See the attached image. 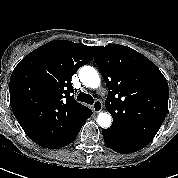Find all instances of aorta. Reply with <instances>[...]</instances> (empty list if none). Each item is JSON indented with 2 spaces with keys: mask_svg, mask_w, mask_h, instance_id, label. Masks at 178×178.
<instances>
[{
  "mask_svg": "<svg viewBox=\"0 0 178 178\" xmlns=\"http://www.w3.org/2000/svg\"><path fill=\"white\" fill-rule=\"evenodd\" d=\"M79 79L83 85L95 89L100 85V77L97 70L91 66H83L79 70ZM97 123L102 128L110 127L112 117L109 113H100L97 117Z\"/></svg>",
  "mask_w": 178,
  "mask_h": 178,
  "instance_id": "obj_1",
  "label": "aorta"
}]
</instances>
